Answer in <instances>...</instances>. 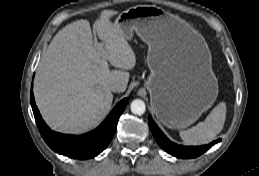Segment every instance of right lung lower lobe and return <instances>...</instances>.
<instances>
[{
  "mask_svg": "<svg viewBox=\"0 0 259 176\" xmlns=\"http://www.w3.org/2000/svg\"><path fill=\"white\" fill-rule=\"evenodd\" d=\"M30 100L36 124L45 142L55 152L74 159L92 158L108 146L115 132L118 119L128 104V99H123L98 128L87 134L75 136L50 130L38 111L32 91Z\"/></svg>",
  "mask_w": 259,
  "mask_h": 176,
  "instance_id": "right-lung-lower-lobe-1",
  "label": "right lung lower lobe"
}]
</instances>
